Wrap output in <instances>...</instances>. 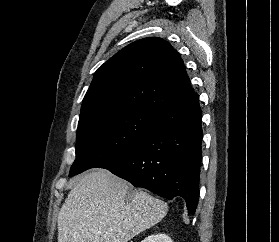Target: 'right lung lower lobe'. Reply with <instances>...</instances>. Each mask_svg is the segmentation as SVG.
<instances>
[{"label": "right lung lower lobe", "instance_id": "1", "mask_svg": "<svg viewBox=\"0 0 279 242\" xmlns=\"http://www.w3.org/2000/svg\"><path fill=\"white\" fill-rule=\"evenodd\" d=\"M201 118L198 98L163 110L144 139L101 168L161 197H183L193 214L199 200Z\"/></svg>", "mask_w": 279, "mask_h": 242}]
</instances>
